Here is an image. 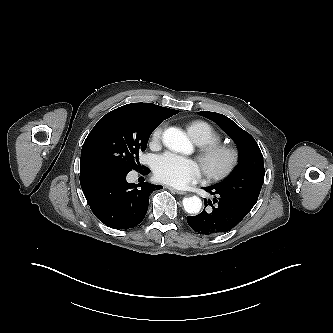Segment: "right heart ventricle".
Returning a JSON list of instances; mask_svg holds the SVG:
<instances>
[{
  "mask_svg": "<svg viewBox=\"0 0 333 333\" xmlns=\"http://www.w3.org/2000/svg\"><path fill=\"white\" fill-rule=\"evenodd\" d=\"M187 131L193 141L200 146L217 144L220 141V134L209 123L201 120L191 122Z\"/></svg>",
  "mask_w": 333,
  "mask_h": 333,
  "instance_id": "right-heart-ventricle-1",
  "label": "right heart ventricle"
}]
</instances>
